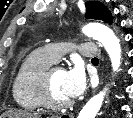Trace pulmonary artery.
<instances>
[{"instance_id":"pulmonary-artery-1","label":"pulmonary artery","mask_w":133,"mask_h":118,"mask_svg":"<svg viewBox=\"0 0 133 118\" xmlns=\"http://www.w3.org/2000/svg\"><path fill=\"white\" fill-rule=\"evenodd\" d=\"M73 48H76L79 53L86 58L92 59L98 54V48L96 45L89 42H81L79 44H73L69 42L47 44L43 47V50L54 62H56L62 55L66 54Z\"/></svg>"}]
</instances>
